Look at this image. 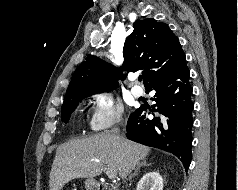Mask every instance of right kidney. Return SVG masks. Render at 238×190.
Instances as JSON below:
<instances>
[{"label": "right kidney", "instance_id": "ca27d5eb", "mask_svg": "<svg viewBox=\"0 0 238 190\" xmlns=\"http://www.w3.org/2000/svg\"><path fill=\"white\" fill-rule=\"evenodd\" d=\"M136 190H163V179L158 172L146 173L138 182Z\"/></svg>", "mask_w": 238, "mask_h": 190}]
</instances>
